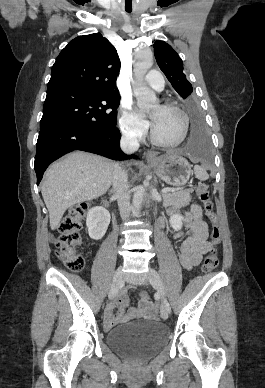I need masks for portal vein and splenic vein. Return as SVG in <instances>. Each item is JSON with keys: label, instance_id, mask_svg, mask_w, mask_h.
Wrapping results in <instances>:
<instances>
[{"label": "portal vein and splenic vein", "instance_id": "18ae733b", "mask_svg": "<svg viewBox=\"0 0 265 388\" xmlns=\"http://www.w3.org/2000/svg\"><path fill=\"white\" fill-rule=\"evenodd\" d=\"M162 194H167V192H174L173 188H163V190H161Z\"/></svg>", "mask_w": 265, "mask_h": 388}]
</instances>
